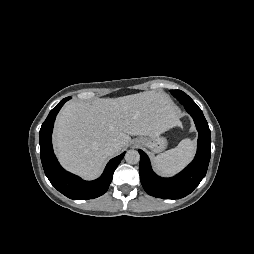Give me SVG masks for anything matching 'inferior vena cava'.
Listing matches in <instances>:
<instances>
[{
	"label": "inferior vena cava",
	"mask_w": 254,
	"mask_h": 254,
	"mask_svg": "<svg viewBox=\"0 0 254 254\" xmlns=\"http://www.w3.org/2000/svg\"><path fill=\"white\" fill-rule=\"evenodd\" d=\"M105 150L108 155H114L119 152L120 145L118 143H110Z\"/></svg>",
	"instance_id": "602c4592"
}]
</instances>
